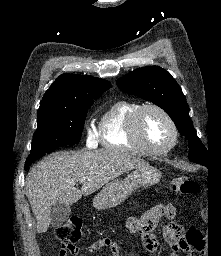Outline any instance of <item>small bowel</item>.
<instances>
[{
	"label": "small bowel",
	"instance_id": "c3829d8e",
	"mask_svg": "<svg viewBox=\"0 0 221 256\" xmlns=\"http://www.w3.org/2000/svg\"><path fill=\"white\" fill-rule=\"evenodd\" d=\"M175 214L176 210L170 204L156 205L139 217H129L126 227L131 233L140 234L144 248L154 252L158 248L156 228L163 218H173ZM162 236L171 250L170 256H179L180 251L186 250L184 230L178 223L171 222L165 225L162 229ZM102 249H107L110 256H120L119 245L108 237L100 238L87 247L89 252H97ZM60 256H67V254L61 252Z\"/></svg>",
	"mask_w": 221,
	"mask_h": 256
}]
</instances>
